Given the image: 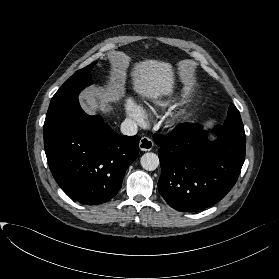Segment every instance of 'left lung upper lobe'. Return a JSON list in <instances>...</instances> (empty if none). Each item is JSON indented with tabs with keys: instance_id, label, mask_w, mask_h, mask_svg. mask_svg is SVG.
Masks as SVG:
<instances>
[{
	"instance_id": "obj_1",
	"label": "left lung upper lobe",
	"mask_w": 279,
	"mask_h": 279,
	"mask_svg": "<svg viewBox=\"0 0 279 279\" xmlns=\"http://www.w3.org/2000/svg\"><path fill=\"white\" fill-rule=\"evenodd\" d=\"M226 127L244 132V126L237 108L231 103L228 110V117L224 123Z\"/></svg>"
}]
</instances>
